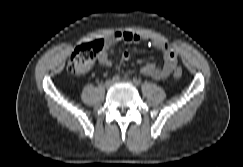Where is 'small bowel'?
Here are the masks:
<instances>
[{"label":"small bowel","mask_w":243,"mask_h":167,"mask_svg":"<svg viewBox=\"0 0 243 167\" xmlns=\"http://www.w3.org/2000/svg\"><path fill=\"white\" fill-rule=\"evenodd\" d=\"M141 41H148L153 47L159 49L164 56V64L161 67L155 63H148L141 68V73L157 80L167 78L177 67L178 60L175 49L165 41L148 40L130 31H118L112 37L107 38L104 49L98 55V63L104 68L112 65L113 47L116 43L130 45ZM120 57L124 61H129L132 58V54L129 50L124 49L120 52Z\"/></svg>","instance_id":"small-bowel-1"}]
</instances>
